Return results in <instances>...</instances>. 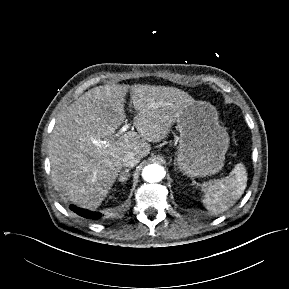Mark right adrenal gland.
Instances as JSON below:
<instances>
[{"label": "right adrenal gland", "mask_w": 289, "mask_h": 289, "mask_svg": "<svg viewBox=\"0 0 289 289\" xmlns=\"http://www.w3.org/2000/svg\"><path fill=\"white\" fill-rule=\"evenodd\" d=\"M129 171L130 169H125L123 172H121L119 174V178H118V181L121 182L122 184L128 180V177L130 176L129 175Z\"/></svg>", "instance_id": "right-adrenal-gland-1"}]
</instances>
